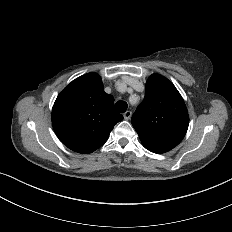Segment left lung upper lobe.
<instances>
[{
	"instance_id": "left-lung-upper-lobe-1",
	"label": "left lung upper lobe",
	"mask_w": 232,
	"mask_h": 232,
	"mask_svg": "<svg viewBox=\"0 0 232 232\" xmlns=\"http://www.w3.org/2000/svg\"><path fill=\"white\" fill-rule=\"evenodd\" d=\"M131 122L145 148L164 153L182 141L189 116L175 86L165 77L153 74L146 82L144 101L137 107Z\"/></svg>"
}]
</instances>
